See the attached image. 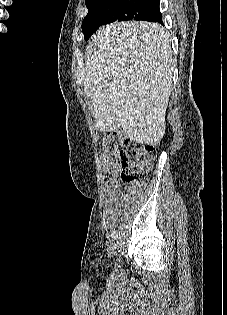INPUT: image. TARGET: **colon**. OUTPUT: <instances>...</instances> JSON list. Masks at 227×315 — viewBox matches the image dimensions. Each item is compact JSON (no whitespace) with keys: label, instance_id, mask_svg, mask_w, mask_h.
Instances as JSON below:
<instances>
[{"label":"colon","instance_id":"obj_1","mask_svg":"<svg viewBox=\"0 0 227 315\" xmlns=\"http://www.w3.org/2000/svg\"><path fill=\"white\" fill-rule=\"evenodd\" d=\"M103 158L99 166L100 180L110 184L116 176L134 189L146 182L156 156V149L149 144L132 143L120 131H109L101 139ZM121 146H129L121 151Z\"/></svg>","mask_w":227,"mask_h":315}]
</instances>
